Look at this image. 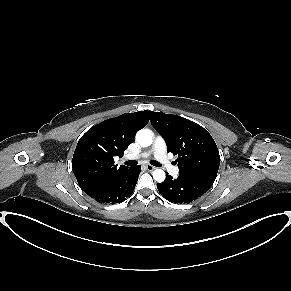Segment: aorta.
<instances>
[{
	"instance_id": "762f6f07",
	"label": "aorta",
	"mask_w": 291,
	"mask_h": 291,
	"mask_svg": "<svg viewBox=\"0 0 291 291\" xmlns=\"http://www.w3.org/2000/svg\"><path fill=\"white\" fill-rule=\"evenodd\" d=\"M136 140L142 147H148L152 144L151 132L147 129H141L136 134ZM153 178L157 182L165 180V172L162 169H155L153 171Z\"/></svg>"
}]
</instances>
